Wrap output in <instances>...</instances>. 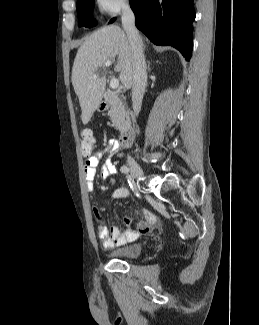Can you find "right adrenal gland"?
Masks as SVG:
<instances>
[{"instance_id": "2a0ac1e0", "label": "right adrenal gland", "mask_w": 259, "mask_h": 325, "mask_svg": "<svg viewBox=\"0 0 259 325\" xmlns=\"http://www.w3.org/2000/svg\"><path fill=\"white\" fill-rule=\"evenodd\" d=\"M148 70L151 71L150 62H148Z\"/></svg>"}]
</instances>
